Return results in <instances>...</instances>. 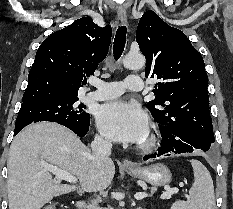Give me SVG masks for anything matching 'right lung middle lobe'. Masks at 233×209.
<instances>
[{
  "instance_id": "obj_1",
  "label": "right lung middle lobe",
  "mask_w": 233,
  "mask_h": 209,
  "mask_svg": "<svg viewBox=\"0 0 233 209\" xmlns=\"http://www.w3.org/2000/svg\"><path fill=\"white\" fill-rule=\"evenodd\" d=\"M78 98H48L22 103L15 122V128L40 121L57 122L66 127H81L90 121L83 104L77 105Z\"/></svg>"
}]
</instances>
